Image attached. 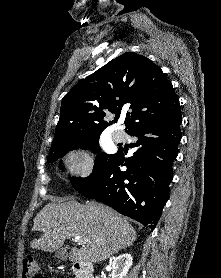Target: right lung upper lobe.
<instances>
[{
  "instance_id": "1",
  "label": "right lung upper lobe",
  "mask_w": 221,
  "mask_h": 278,
  "mask_svg": "<svg viewBox=\"0 0 221 278\" xmlns=\"http://www.w3.org/2000/svg\"><path fill=\"white\" fill-rule=\"evenodd\" d=\"M180 111L179 99L162 70L143 55L127 52L81 80L64 97L50 149L100 135L126 113V132ZM115 121V120H113Z\"/></svg>"
}]
</instances>
